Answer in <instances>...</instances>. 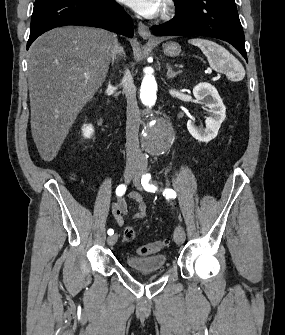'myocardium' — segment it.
Wrapping results in <instances>:
<instances>
[{"mask_svg": "<svg viewBox=\"0 0 285 335\" xmlns=\"http://www.w3.org/2000/svg\"><path fill=\"white\" fill-rule=\"evenodd\" d=\"M172 4L173 1H160V5L162 8L163 16L168 17L172 13Z\"/></svg>", "mask_w": 285, "mask_h": 335, "instance_id": "obj_1", "label": "myocardium"}]
</instances>
